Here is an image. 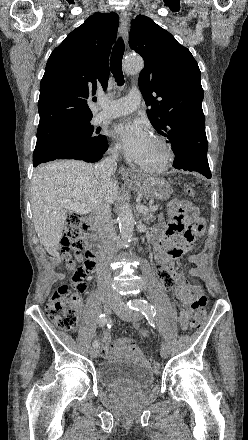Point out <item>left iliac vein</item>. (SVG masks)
<instances>
[{
    "label": "left iliac vein",
    "instance_id": "1",
    "mask_svg": "<svg viewBox=\"0 0 248 440\" xmlns=\"http://www.w3.org/2000/svg\"><path fill=\"white\" fill-rule=\"evenodd\" d=\"M113 310L120 318L126 321H138L142 319V315L139 312L128 310L120 297L116 298ZM160 353L163 358L168 357L169 352L165 344L162 345Z\"/></svg>",
    "mask_w": 248,
    "mask_h": 440
}]
</instances>
